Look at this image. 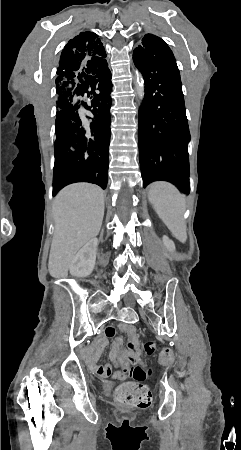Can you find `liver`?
I'll return each instance as SVG.
<instances>
[{
    "label": "liver",
    "instance_id": "6515ba94",
    "mask_svg": "<svg viewBox=\"0 0 241 450\" xmlns=\"http://www.w3.org/2000/svg\"><path fill=\"white\" fill-rule=\"evenodd\" d=\"M55 232L48 270L66 278L78 250L98 236L104 218V194L94 184H71L58 192L52 206Z\"/></svg>",
    "mask_w": 241,
    "mask_h": 450
}]
</instances>
